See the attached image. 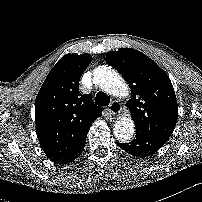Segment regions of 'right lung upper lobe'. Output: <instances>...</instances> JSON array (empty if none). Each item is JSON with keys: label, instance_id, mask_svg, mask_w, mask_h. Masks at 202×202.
<instances>
[{"label": "right lung upper lobe", "instance_id": "right-lung-upper-lobe-1", "mask_svg": "<svg viewBox=\"0 0 202 202\" xmlns=\"http://www.w3.org/2000/svg\"><path fill=\"white\" fill-rule=\"evenodd\" d=\"M91 59L89 54L63 56L36 97V134L42 150L54 163H62V159L71 155L94 120L101 116V108L78 89Z\"/></svg>", "mask_w": 202, "mask_h": 202}]
</instances>
